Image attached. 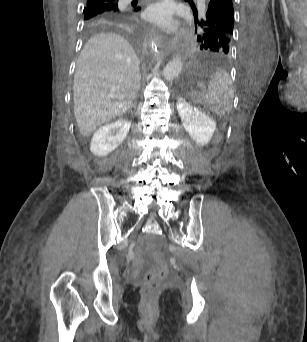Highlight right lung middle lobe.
Here are the masks:
<instances>
[{
	"instance_id": "dd1d6c3e",
	"label": "right lung middle lobe",
	"mask_w": 307,
	"mask_h": 342,
	"mask_svg": "<svg viewBox=\"0 0 307 342\" xmlns=\"http://www.w3.org/2000/svg\"><path fill=\"white\" fill-rule=\"evenodd\" d=\"M83 13H84V19H86V18H89V17L95 15L97 12L94 10H85L84 9Z\"/></svg>"
}]
</instances>
